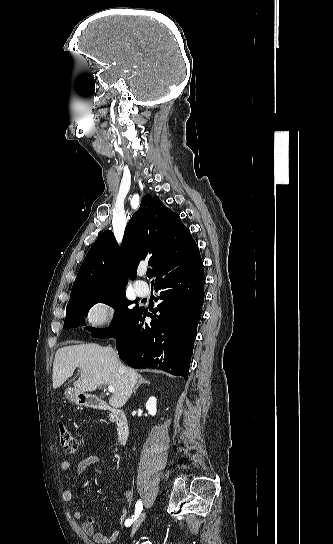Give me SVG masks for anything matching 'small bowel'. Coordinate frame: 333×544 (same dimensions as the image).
<instances>
[{
    "mask_svg": "<svg viewBox=\"0 0 333 544\" xmlns=\"http://www.w3.org/2000/svg\"><path fill=\"white\" fill-rule=\"evenodd\" d=\"M100 463V458L97 455H89L88 457L79 461L75 467L76 475H81L87 468L90 466ZM71 469V463L69 461H63L60 465L61 470V479L64 481L67 478V473ZM72 491L64 487L62 491V499L64 502H70L72 500ZM125 499L128 502H131L134 499V493L131 490L125 492ZM75 520H81L84 518V521L81 524L83 531L90 537L93 538L95 542L98 543H110L115 541L119 536V530L113 531L110 535H105L102 532L96 529V519L93 516H85L82 511L75 510L72 514ZM130 519V511L128 508H124L120 517L118 518L116 525L117 527H122L125 525L126 521Z\"/></svg>",
    "mask_w": 333,
    "mask_h": 544,
    "instance_id": "1",
    "label": "small bowel"
}]
</instances>
